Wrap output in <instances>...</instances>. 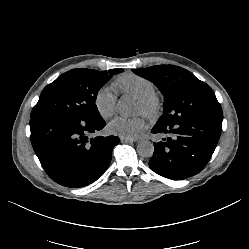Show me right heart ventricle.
Returning <instances> with one entry per match:
<instances>
[{
    "label": "right heart ventricle",
    "instance_id": "e07e8e85",
    "mask_svg": "<svg viewBox=\"0 0 249 249\" xmlns=\"http://www.w3.org/2000/svg\"><path fill=\"white\" fill-rule=\"evenodd\" d=\"M114 85L121 92L129 93L137 98L155 94L156 92V87L151 80L132 72L119 75Z\"/></svg>",
    "mask_w": 249,
    "mask_h": 249
}]
</instances>
